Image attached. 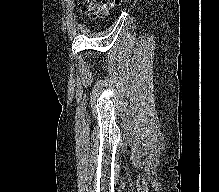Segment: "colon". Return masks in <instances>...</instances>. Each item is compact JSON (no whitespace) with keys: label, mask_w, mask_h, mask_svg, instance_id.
<instances>
[{"label":"colon","mask_w":219,"mask_h":192,"mask_svg":"<svg viewBox=\"0 0 219 192\" xmlns=\"http://www.w3.org/2000/svg\"><path fill=\"white\" fill-rule=\"evenodd\" d=\"M127 0H83L79 5L80 13L89 18L100 17L109 12V10Z\"/></svg>","instance_id":"obj_1"}]
</instances>
